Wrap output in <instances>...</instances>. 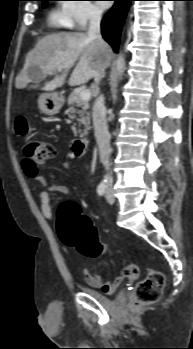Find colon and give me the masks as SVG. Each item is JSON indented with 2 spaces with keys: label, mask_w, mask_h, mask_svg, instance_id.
<instances>
[{
  "label": "colon",
  "mask_w": 193,
  "mask_h": 349,
  "mask_svg": "<svg viewBox=\"0 0 193 349\" xmlns=\"http://www.w3.org/2000/svg\"><path fill=\"white\" fill-rule=\"evenodd\" d=\"M17 132L23 137L25 161L38 168L53 157L55 150L51 143L36 139L30 135V127L25 118H19ZM58 233L68 246L76 248L86 256H98L106 251V245L100 240L95 227L88 217L81 215L75 204L66 202L58 212ZM165 284L164 275L157 270H150L136 286L137 305L154 303L161 297Z\"/></svg>",
  "instance_id": "1"
}]
</instances>
